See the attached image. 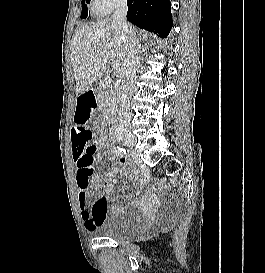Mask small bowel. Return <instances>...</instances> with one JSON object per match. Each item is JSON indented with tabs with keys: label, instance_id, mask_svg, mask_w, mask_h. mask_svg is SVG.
I'll use <instances>...</instances> for the list:
<instances>
[{
	"label": "small bowel",
	"instance_id": "1",
	"mask_svg": "<svg viewBox=\"0 0 265 273\" xmlns=\"http://www.w3.org/2000/svg\"><path fill=\"white\" fill-rule=\"evenodd\" d=\"M94 104L95 100L89 92L77 98L76 120L71 129L78 205L85 228L90 233L95 231L97 225L108 214L106 197L98 195V188L108 186L118 174H124L129 167L128 160L123 156L119 159V166L111 167L106 175L95 173L94 165L87 164L89 142H84L81 139L82 129H87V124L79 123H87L91 118ZM93 195L97 196V198L91 205L90 199ZM96 204L99 205L97 210L95 208ZM117 210H119V207H113V211Z\"/></svg>",
	"mask_w": 265,
	"mask_h": 273
}]
</instances>
